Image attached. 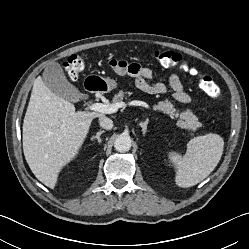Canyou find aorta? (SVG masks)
<instances>
[{
  "label": "aorta",
  "mask_w": 249,
  "mask_h": 249,
  "mask_svg": "<svg viewBox=\"0 0 249 249\" xmlns=\"http://www.w3.org/2000/svg\"><path fill=\"white\" fill-rule=\"evenodd\" d=\"M132 140L129 135L121 134L114 141V148L118 152H127L131 149Z\"/></svg>",
  "instance_id": "obj_1"
}]
</instances>
